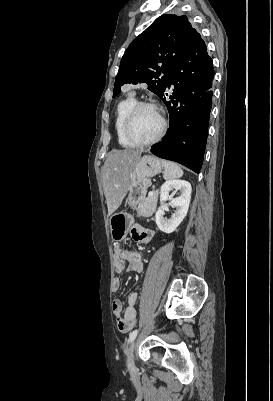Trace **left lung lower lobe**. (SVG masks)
<instances>
[{
	"mask_svg": "<svg viewBox=\"0 0 273 401\" xmlns=\"http://www.w3.org/2000/svg\"><path fill=\"white\" fill-rule=\"evenodd\" d=\"M213 61L205 42L196 41L176 62L170 82V98L160 97L170 115V127L163 140L151 147L156 156L176 161L200 172L207 143L208 122L212 106Z\"/></svg>",
	"mask_w": 273,
	"mask_h": 401,
	"instance_id": "0a47b994",
	"label": "left lung lower lobe"
}]
</instances>
